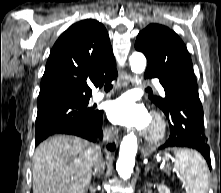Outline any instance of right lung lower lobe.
Instances as JSON below:
<instances>
[{
  "label": "right lung lower lobe",
  "instance_id": "right-lung-lower-lobe-1",
  "mask_svg": "<svg viewBox=\"0 0 221 193\" xmlns=\"http://www.w3.org/2000/svg\"><path fill=\"white\" fill-rule=\"evenodd\" d=\"M117 77V73L113 74L107 81L115 80ZM98 114L96 116V119L94 123L91 126L88 127H81V126H68L65 128H62L55 132H50L42 135L36 136V142L35 145L39 144L42 140L46 139L47 137L54 135V134H70V135H76L80 136L82 138H85L87 140H90L92 142H95L97 138H102V118H103V111L97 110ZM108 149L114 150L115 145L110 144L107 146Z\"/></svg>",
  "mask_w": 221,
  "mask_h": 193
}]
</instances>
